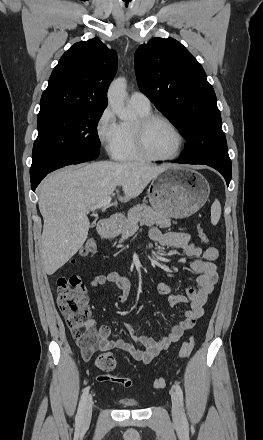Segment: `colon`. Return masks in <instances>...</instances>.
Returning <instances> with one entry per match:
<instances>
[{
  "label": "colon",
  "mask_w": 263,
  "mask_h": 440,
  "mask_svg": "<svg viewBox=\"0 0 263 440\" xmlns=\"http://www.w3.org/2000/svg\"><path fill=\"white\" fill-rule=\"evenodd\" d=\"M198 235L203 243H207V235L201 227L198 228ZM97 251V243L95 240L89 239L84 244L81 254L94 256ZM56 284L58 289L57 303L60 312L64 316L71 335L77 341L83 356L88 358L95 351L97 336L89 327L90 308L85 294V286L80 277L76 275L59 276ZM193 347L194 338L190 337L182 344L179 353L180 358L186 359L191 354ZM96 365L103 372L99 376L100 381L113 382L126 388L132 385V381L128 378L111 375L116 365L113 355L109 353L99 354L96 357ZM165 386L166 380L163 378L154 381L155 389H163Z\"/></svg>",
  "instance_id": "obj_1"
}]
</instances>
